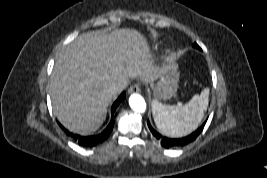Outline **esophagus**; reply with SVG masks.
<instances>
[{
  "label": "esophagus",
  "instance_id": "1",
  "mask_svg": "<svg viewBox=\"0 0 267 178\" xmlns=\"http://www.w3.org/2000/svg\"><path fill=\"white\" fill-rule=\"evenodd\" d=\"M141 91V88L138 84H133L130 86V88L128 89V93L132 94V93H139Z\"/></svg>",
  "mask_w": 267,
  "mask_h": 178
}]
</instances>
